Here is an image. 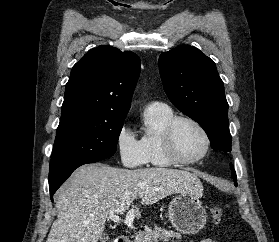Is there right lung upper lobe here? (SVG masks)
<instances>
[{
	"label": "right lung upper lobe",
	"instance_id": "obj_1",
	"mask_svg": "<svg viewBox=\"0 0 279 242\" xmlns=\"http://www.w3.org/2000/svg\"><path fill=\"white\" fill-rule=\"evenodd\" d=\"M139 73L140 58L131 51L111 46L90 50L72 68L62 114L125 118Z\"/></svg>",
	"mask_w": 279,
	"mask_h": 242
}]
</instances>
